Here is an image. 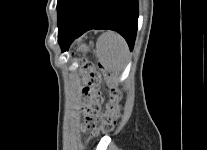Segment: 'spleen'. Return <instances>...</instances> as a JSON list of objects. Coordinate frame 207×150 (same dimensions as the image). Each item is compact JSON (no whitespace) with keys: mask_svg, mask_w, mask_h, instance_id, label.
<instances>
[{"mask_svg":"<svg viewBox=\"0 0 207 150\" xmlns=\"http://www.w3.org/2000/svg\"><path fill=\"white\" fill-rule=\"evenodd\" d=\"M100 62L109 70L121 72L128 61L129 49L122 36L114 31L103 33L96 42Z\"/></svg>","mask_w":207,"mask_h":150,"instance_id":"spleen-1","label":"spleen"}]
</instances>
